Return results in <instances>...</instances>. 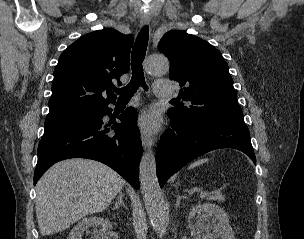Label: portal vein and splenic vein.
<instances>
[{
	"label": "portal vein and splenic vein",
	"mask_w": 304,
	"mask_h": 239,
	"mask_svg": "<svg viewBox=\"0 0 304 239\" xmlns=\"http://www.w3.org/2000/svg\"><path fill=\"white\" fill-rule=\"evenodd\" d=\"M208 195V192L207 191H204V192H201V196H207Z\"/></svg>",
	"instance_id": "1"
}]
</instances>
